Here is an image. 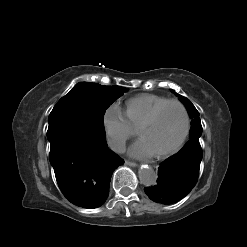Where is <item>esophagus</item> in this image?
<instances>
[{"label":"esophagus","instance_id":"34e87169","mask_svg":"<svg viewBox=\"0 0 247 247\" xmlns=\"http://www.w3.org/2000/svg\"><path fill=\"white\" fill-rule=\"evenodd\" d=\"M125 164L128 165V166H131V167H136L137 166V164L135 162H131V161H128V160L125 161Z\"/></svg>","mask_w":247,"mask_h":247}]
</instances>
